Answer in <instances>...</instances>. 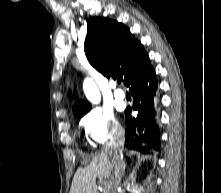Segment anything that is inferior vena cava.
I'll list each match as a JSON object with an SVG mask.
<instances>
[{"mask_svg":"<svg viewBox=\"0 0 221 193\" xmlns=\"http://www.w3.org/2000/svg\"><path fill=\"white\" fill-rule=\"evenodd\" d=\"M124 133L117 131L108 144L110 153L113 154L114 171L111 177L109 193H116L120 185L125 170V162L123 158Z\"/></svg>","mask_w":221,"mask_h":193,"instance_id":"1","label":"inferior vena cava"}]
</instances>
